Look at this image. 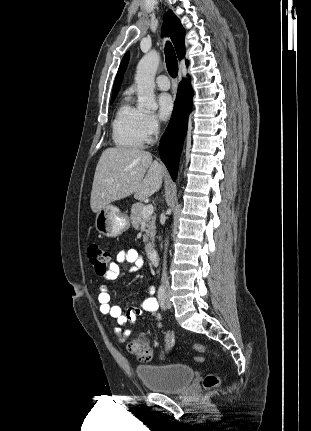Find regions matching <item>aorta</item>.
Wrapping results in <instances>:
<instances>
[{"mask_svg":"<svg viewBox=\"0 0 311 431\" xmlns=\"http://www.w3.org/2000/svg\"><path fill=\"white\" fill-rule=\"evenodd\" d=\"M160 62V54L156 50H151L141 58L136 74L135 84H137V108H147V110H157L155 100V76Z\"/></svg>","mask_w":311,"mask_h":431,"instance_id":"1","label":"aorta"}]
</instances>
